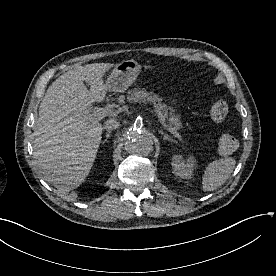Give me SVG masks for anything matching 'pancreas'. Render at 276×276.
Instances as JSON below:
<instances>
[{
    "instance_id": "1",
    "label": "pancreas",
    "mask_w": 276,
    "mask_h": 276,
    "mask_svg": "<svg viewBox=\"0 0 276 276\" xmlns=\"http://www.w3.org/2000/svg\"><path fill=\"white\" fill-rule=\"evenodd\" d=\"M127 100L130 103H152L155 111L161 113L164 118L169 120V126L175 128L176 130L182 127L178 116L173 115L172 112H168V107L166 104L162 103V98L153 92H147L144 88H134L128 91Z\"/></svg>"
}]
</instances>
